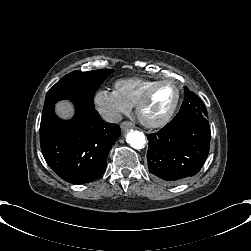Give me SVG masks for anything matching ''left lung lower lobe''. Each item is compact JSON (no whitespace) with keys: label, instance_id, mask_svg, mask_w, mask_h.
Wrapping results in <instances>:
<instances>
[{"label":"left lung lower lobe","instance_id":"1","mask_svg":"<svg viewBox=\"0 0 251 251\" xmlns=\"http://www.w3.org/2000/svg\"><path fill=\"white\" fill-rule=\"evenodd\" d=\"M147 138L149 172L163 183L177 184L203 166L209 153V122L202 116L175 119Z\"/></svg>","mask_w":251,"mask_h":251}]
</instances>
